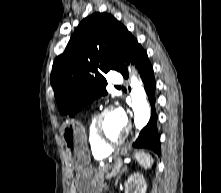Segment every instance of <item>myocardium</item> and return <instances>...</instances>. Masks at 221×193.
Wrapping results in <instances>:
<instances>
[{
  "label": "myocardium",
  "instance_id": "myocardium-1",
  "mask_svg": "<svg viewBox=\"0 0 221 193\" xmlns=\"http://www.w3.org/2000/svg\"><path fill=\"white\" fill-rule=\"evenodd\" d=\"M113 110L114 108L112 106H107L103 108L95 117L94 125H93V131H94L95 137L103 146L109 149L112 147L121 145L126 140L130 131V126L126 125V129L124 133L122 134L121 137L117 138L116 140H110L105 136V134L102 131V120L106 114H108L109 112Z\"/></svg>",
  "mask_w": 221,
  "mask_h": 193
}]
</instances>
